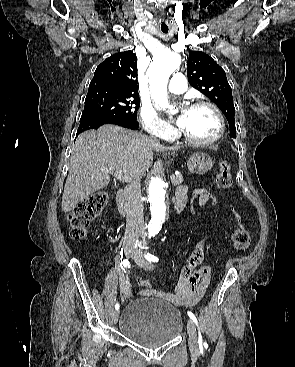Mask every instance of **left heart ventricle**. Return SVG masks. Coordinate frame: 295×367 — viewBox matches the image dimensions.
Masks as SVG:
<instances>
[{
	"instance_id": "left-heart-ventricle-1",
	"label": "left heart ventricle",
	"mask_w": 295,
	"mask_h": 367,
	"mask_svg": "<svg viewBox=\"0 0 295 367\" xmlns=\"http://www.w3.org/2000/svg\"><path fill=\"white\" fill-rule=\"evenodd\" d=\"M218 128L217 117L208 107L189 108L181 126L184 132L197 140L212 138Z\"/></svg>"
}]
</instances>
